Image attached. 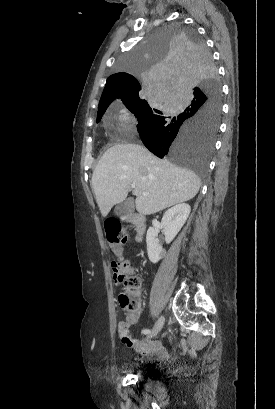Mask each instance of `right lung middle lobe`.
Listing matches in <instances>:
<instances>
[{
  "instance_id": "right-lung-middle-lobe-1",
  "label": "right lung middle lobe",
  "mask_w": 275,
  "mask_h": 409,
  "mask_svg": "<svg viewBox=\"0 0 275 409\" xmlns=\"http://www.w3.org/2000/svg\"><path fill=\"white\" fill-rule=\"evenodd\" d=\"M142 49L127 50L112 72L139 73L147 91L178 92L122 102L138 119L141 140L153 154L186 165L206 182L221 116V85L211 51L193 24H165L147 36ZM106 109L98 112L97 123Z\"/></svg>"
}]
</instances>
